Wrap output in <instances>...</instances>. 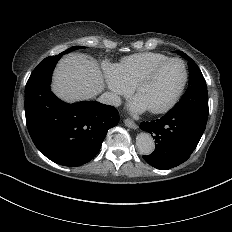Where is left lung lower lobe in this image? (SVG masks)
<instances>
[{
    "label": "left lung lower lobe",
    "mask_w": 232,
    "mask_h": 232,
    "mask_svg": "<svg viewBox=\"0 0 232 232\" xmlns=\"http://www.w3.org/2000/svg\"><path fill=\"white\" fill-rule=\"evenodd\" d=\"M206 123L186 112L168 111L160 119L142 122L140 128L155 139V150L144 160L151 166L167 170L184 163L195 150Z\"/></svg>",
    "instance_id": "1"
}]
</instances>
